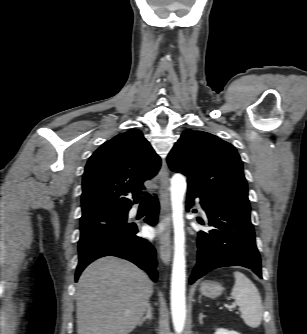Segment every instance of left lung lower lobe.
<instances>
[{
	"label": "left lung lower lobe",
	"instance_id": "left-lung-lower-lobe-1",
	"mask_svg": "<svg viewBox=\"0 0 307 334\" xmlns=\"http://www.w3.org/2000/svg\"><path fill=\"white\" fill-rule=\"evenodd\" d=\"M196 197L199 196L195 192L188 191L187 210ZM199 198L209 225L214 228L208 232H198V258L190 283L213 269L236 265L252 269L262 278L261 259L255 243L250 211Z\"/></svg>",
	"mask_w": 307,
	"mask_h": 334
}]
</instances>
